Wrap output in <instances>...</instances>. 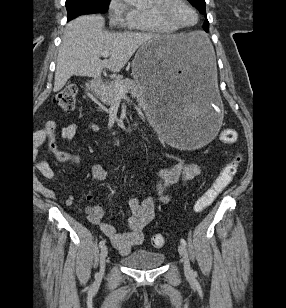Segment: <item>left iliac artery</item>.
Wrapping results in <instances>:
<instances>
[{"mask_svg":"<svg viewBox=\"0 0 286 308\" xmlns=\"http://www.w3.org/2000/svg\"><path fill=\"white\" fill-rule=\"evenodd\" d=\"M180 243H181V244H183L184 246H186V245H187L186 240H185V239H183V238H181V239H180Z\"/></svg>","mask_w":286,"mask_h":308,"instance_id":"obj_1","label":"left iliac artery"}]
</instances>
